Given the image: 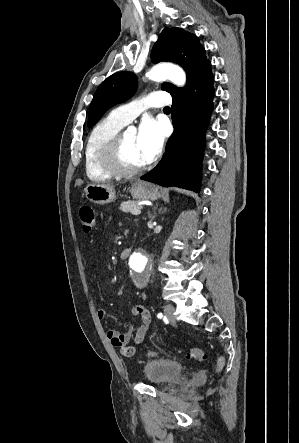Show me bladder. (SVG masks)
Listing matches in <instances>:
<instances>
[{
  "label": "bladder",
  "mask_w": 299,
  "mask_h": 443,
  "mask_svg": "<svg viewBox=\"0 0 299 443\" xmlns=\"http://www.w3.org/2000/svg\"><path fill=\"white\" fill-rule=\"evenodd\" d=\"M142 373L149 384L163 386L181 378L183 370L173 359H154L144 364Z\"/></svg>",
  "instance_id": "obj_1"
}]
</instances>
